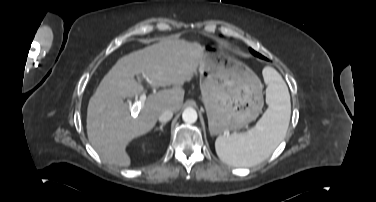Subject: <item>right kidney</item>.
I'll list each match as a JSON object with an SVG mask.
<instances>
[{
  "label": "right kidney",
  "mask_w": 376,
  "mask_h": 202,
  "mask_svg": "<svg viewBox=\"0 0 376 202\" xmlns=\"http://www.w3.org/2000/svg\"><path fill=\"white\" fill-rule=\"evenodd\" d=\"M145 144H146V142H144V143L142 144V147H143V148L145 147Z\"/></svg>",
  "instance_id": "ca27d5eb"
}]
</instances>
